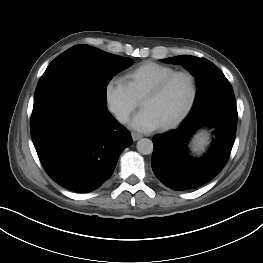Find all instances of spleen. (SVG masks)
Listing matches in <instances>:
<instances>
[{
  "mask_svg": "<svg viewBox=\"0 0 263 263\" xmlns=\"http://www.w3.org/2000/svg\"><path fill=\"white\" fill-rule=\"evenodd\" d=\"M204 143V139L200 138V144Z\"/></svg>",
  "mask_w": 263,
  "mask_h": 263,
  "instance_id": "obj_1",
  "label": "spleen"
}]
</instances>
